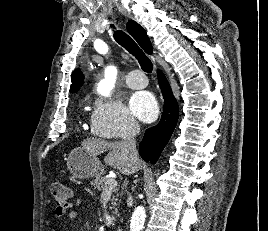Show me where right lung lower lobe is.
<instances>
[{"label":"right lung lower lobe","instance_id":"obj_1","mask_svg":"<svg viewBox=\"0 0 268 231\" xmlns=\"http://www.w3.org/2000/svg\"><path fill=\"white\" fill-rule=\"evenodd\" d=\"M159 85L164 97V109L158 125L149 128L139 146L141 157L146 162L155 163L168 143L179 117L178 103L172 93L167 79L157 71Z\"/></svg>","mask_w":268,"mask_h":231}]
</instances>
